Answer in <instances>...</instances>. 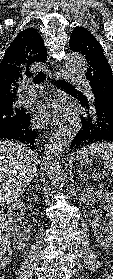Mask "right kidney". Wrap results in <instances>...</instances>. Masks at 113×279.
<instances>
[{"mask_svg": "<svg viewBox=\"0 0 113 279\" xmlns=\"http://www.w3.org/2000/svg\"><path fill=\"white\" fill-rule=\"evenodd\" d=\"M38 199L37 195H34L32 200L36 202ZM24 210V204L21 200L16 201L13 203L7 213L8 223L9 227L8 230L11 234V237H13V246L16 249H25L30 241V235H31V228H26L21 233L19 231V227L17 224L18 218H19V212L22 213Z\"/></svg>", "mask_w": 113, "mask_h": 279, "instance_id": "obj_1", "label": "right kidney"}]
</instances>
